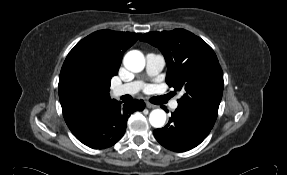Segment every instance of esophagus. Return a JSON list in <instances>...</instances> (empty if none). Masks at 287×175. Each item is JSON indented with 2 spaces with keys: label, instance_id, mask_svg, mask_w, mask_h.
I'll return each instance as SVG.
<instances>
[{
  "label": "esophagus",
  "instance_id": "1",
  "mask_svg": "<svg viewBox=\"0 0 287 175\" xmlns=\"http://www.w3.org/2000/svg\"><path fill=\"white\" fill-rule=\"evenodd\" d=\"M146 106L148 107V108H150V109H154V108H156L157 106L156 105H154V104H152V103H150V102H146Z\"/></svg>",
  "mask_w": 287,
  "mask_h": 175
}]
</instances>
